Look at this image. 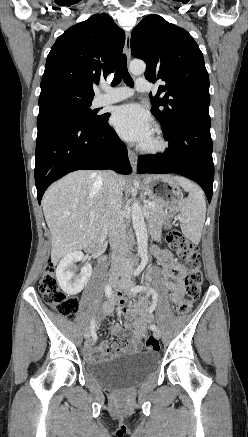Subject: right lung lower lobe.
<instances>
[{
  "instance_id": "98d812e1",
  "label": "right lung lower lobe",
  "mask_w": 248,
  "mask_h": 437,
  "mask_svg": "<svg viewBox=\"0 0 248 437\" xmlns=\"http://www.w3.org/2000/svg\"><path fill=\"white\" fill-rule=\"evenodd\" d=\"M106 118L85 122L56 109L39 111L35 152V183L39 204L51 183L69 172L112 169L132 172L127 148Z\"/></svg>"
}]
</instances>
